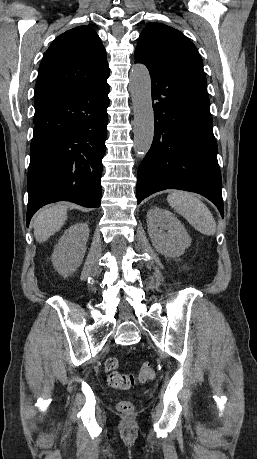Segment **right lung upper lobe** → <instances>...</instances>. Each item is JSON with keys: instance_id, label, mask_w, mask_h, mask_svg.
I'll return each instance as SVG.
<instances>
[{"instance_id": "obj_1", "label": "right lung upper lobe", "mask_w": 257, "mask_h": 459, "mask_svg": "<svg viewBox=\"0 0 257 459\" xmlns=\"http://www.w3.org/2000/svg\"><path fill=\"white\" fill-rule=\"evenodd\" d=\"M108 77L106 51L94 29L73 28L46 51L39 66L35 102L85 90Z\"/></svg>"}]
</instances>
